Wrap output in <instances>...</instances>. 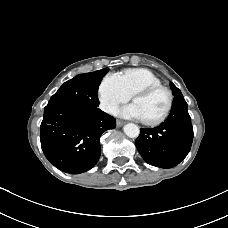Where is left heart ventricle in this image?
Instances as JSON below:
<instances>
[{"label": "left heart ventricle", "instance_id": "1", "mask_svg": "<svg viewBox=\"0 0 228 228\" xmlns=\"http://www.w3.org/2000/svg\"><path fill=\"white\" fill-rule=\"evenodd\" d=\"M167 100V94L159 90L147 96L137 97L133 103L138 107L142 119L147 120L158 117L166 108Z\"/></svg>", "mask_w": 228, "mask_h": 228}]
</instances>
